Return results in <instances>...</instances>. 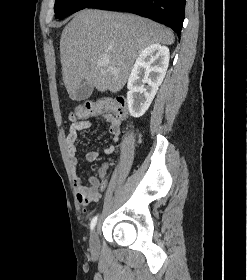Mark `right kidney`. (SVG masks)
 <instances>
[{
  "instance_id": "obj_1",
  "label": "right kidney",
  "mask_w": 247,
  "mask_h": 280,
  "mask_svg": "<svg viewBox=\"0 0 247 280\" xmlns=\"http://www.w3.org/2000/svg\"><path fill=\"white\" fill-rule=\"evenodd\" d=\"M169 57V49L157 43L138 55L127 83L128 109L133 117H140L148 110L166 75Z\"/></svg>"
}]
</instances>
